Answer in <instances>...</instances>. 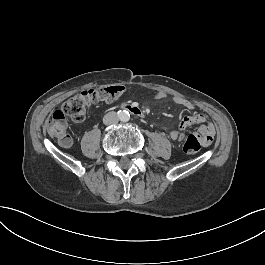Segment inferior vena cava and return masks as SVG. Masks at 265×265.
Wrapping results in <instances>:
<instances>
[{
  "instance_id": "1",
  "label": "inferior vena cava",
  "mask_w": 265,
  "mask_h": 265,
  "mask_svg": "<svg viewBox=\"0 0 265 265\" xmlns=\"http://www.w3.org/2000/svg\"><path fill=\"white\" fill-rule=\"evenodd\" d=\"M105 119L108 120V124H117L119 122V116L116 112H109Z\"/></svg>"
}]
</instances>
